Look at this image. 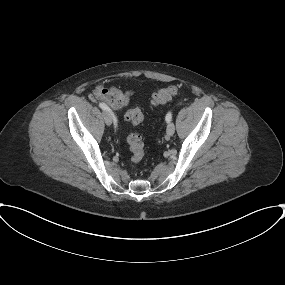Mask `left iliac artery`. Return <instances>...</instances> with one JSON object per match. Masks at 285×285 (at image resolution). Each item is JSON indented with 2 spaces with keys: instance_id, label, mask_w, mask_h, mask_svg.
<instances>
[{
  "instance_id": "obj_1",
  "label": "left iliac artery",
  "mask_w": 285,
  "mask_h": 285,
  "mask_svg": "<svg viewBox=\"0 0 285 285\" xmlns=\"http://www.w3.org/2000/svg\"><path fill=\"white\" fill-rule=\"evenodd\" d=\"M165 119H166V122L169 123V122L171 121V119H172V113H171V112H168V113L166 114Z\"/></svg>"
}]
</instances>
